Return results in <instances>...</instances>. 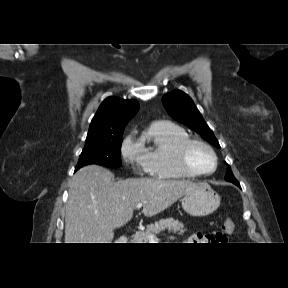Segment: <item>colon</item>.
Wrapping results in <instances>:
<instances>
[{
	"label": "colon",
	"instance_id": "1",
	"mask_svg": "<svg viewBox=\"0 0 288 288\" xmlns=\"http://www.w3.org/2000/svg\"><path fill=\"white\" fill-rule=\"evenodd\" d=\"M223 232L224 233H217V242H222L227 234L233 233L235 229V225L232 220L226 219L223 223Z\"/></svg>",
	"mask_w": 288,
	"mask_h": 288
}]
</instances>
